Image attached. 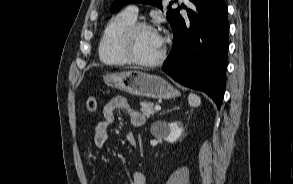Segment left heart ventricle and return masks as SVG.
Here are the masks:
<instances>
[{
    "label": "left heart ventricle",
    "instance_id": "1",
    "mask_svg": "<svg viewBox=\"0 0 293 184\" xmlns=\"http://www.w3.org/2000/svg\"><path fill=\"white\" fill-rule=\"evenodd\" d=\"M162 46L156 31L150 29L139 30L133 40L134 54L141 60L155 59L161 53Z\"/></svg>",
    "mask_w": 293,
    "mask_h": 184
}]
</instances>
